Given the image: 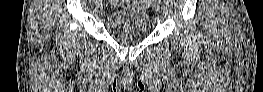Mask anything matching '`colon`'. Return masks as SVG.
Instances as JSON below:
<instances>
[{
  "mask_svg": "<svg viewBox=\"0 0 263 92\" xmlns=\"http://www.w3.org/2000/svg\"><path fill=\"white\" fill-rule=\"evenodd\" d=\"M140 2H141V5H144V4H148V3L156 2V1H140Z\"/></svg>",
  "mask_w": 263,
  "mask_h": 92,
  "instance_id": "5ec220e1",
  "label": "colon"
}]
</instances>
